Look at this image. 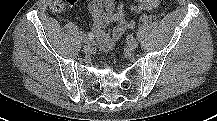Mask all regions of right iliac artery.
Here are the masks:
<instances>
[{
	"instance_id": "right-iliac-artery-1",
	"label": "right iliac artery",
	"mask_w": 217,
	"mask_h": 121,
	"mask_svg": "<svg viewBox=\"0 0 217 121\" xmlns=\"http://www.w3.org/2000/svg\"><path fill=\"white\" fill-rule=\"evenodd\" d=\"M81 40L84 42V43H87V44H89V43H91L92 42V40H91V38H89L88 36H86L85 34H81Z\"/></svg>"
}]
</instances>
